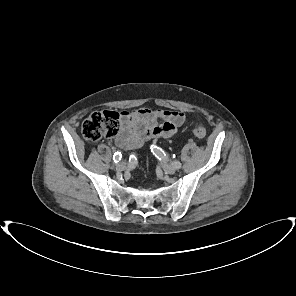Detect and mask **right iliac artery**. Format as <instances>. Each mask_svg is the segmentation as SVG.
I'll return each instance as SVG.
<instances>
[{"mask_svg": "<svg viewBox=\"0 0 296 296\" xmlns=\"http://www.w3.org/2000/svg\"><path fill=\"white\" fill-rule=\"evenodd\" d=\"M121 157H122L121 153H120V152H116V153L114 154V156H113V161H114L115 163H117V162H119V161L121 160Z\"/></svg>", "mask_w": 296, "mask_h": 296, "instance_id": "obj_1", "label": "right iliac artery"}]
</instances>
